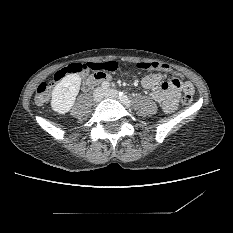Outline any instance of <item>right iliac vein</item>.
Segmentation results:
<instances>
[{"label": "right iliac vein", "instance_id": "1", "mask_svg": "<svg viewBox=\"0 0 233 233\" xmlns=\"http://www.w3.org/2000/svg\"><path fill=\"white\" fill-rule=\"evenodd\" d=\"M104 91L102 88L97 89L93 94V100L99 102L103 97Z\"/></svg>", "mask_w": 233, "mask_h": 233}]
</instances>
